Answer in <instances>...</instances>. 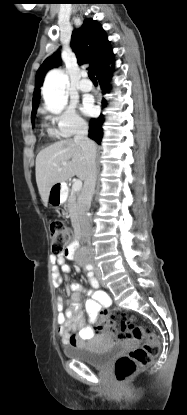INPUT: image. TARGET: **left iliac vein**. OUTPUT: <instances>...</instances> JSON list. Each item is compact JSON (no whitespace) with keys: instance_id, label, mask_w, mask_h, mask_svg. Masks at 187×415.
<instances>
[{"instance_id":"1","label":"left iliac vein","mask_w":187,"mask_h":415,"mask_svg":"<svg viewBox=\"0 0 187 415\" xmlns=\"http://www.w3.org/2000/svg\"><path fill=\"white\" fill-rule=\"evenodd\" d=\"M94 273H95V276H96L97 280L100 282L101 281V272H100V270L98 268H96L94 270Z\"/></svg>"}]
</instances>
